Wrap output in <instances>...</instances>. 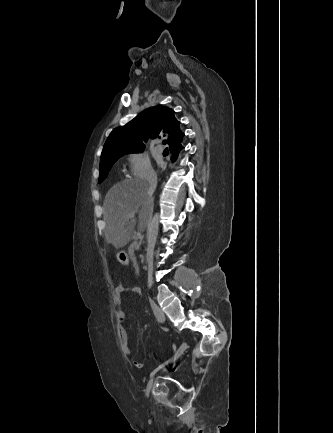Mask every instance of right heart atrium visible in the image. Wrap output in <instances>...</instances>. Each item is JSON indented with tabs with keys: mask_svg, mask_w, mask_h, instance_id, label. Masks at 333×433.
Here are the masks:
<instances>
[{
	"mask_svg": "<svg viewBox=\"0 0 333 433\" xmlns=\"http://www.w3.org/2000/svg\"><path fill=\"white\" fill-rule=\"evenodd\" d=\"M128 173L135 178H150L154 175L151 161L144 152L133 151L126 157Z\"/></svg>",
	"mask_w": 333,
	"mask_h": 433,
	"instance_id": "obj_1",
	"label": "right heart atrium"
}]
</instances>
